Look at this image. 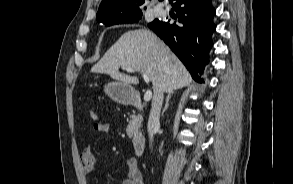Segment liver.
Instances as JSON below:
<instances>
[{
	"label": "liver",
	"mask_w": 293,
	"mask_h": 184,
	"mask_svg": "<svg viewBox=\"0 0 293 184\" xmlns=\"http://www.w3.org/2000/svg\"><path fill=\"white\" fill-rule=\"evenodd\" d=\"M119 67H131L148 75L153 84L154 96L161 91L172 93L192 81L180 60L148 29L125 32L91 68V72L110 75L126 84L139 83L136 77L120 73Z\"/></svg>",
	"instance_id": "6515ba94"
}]
</instances>
